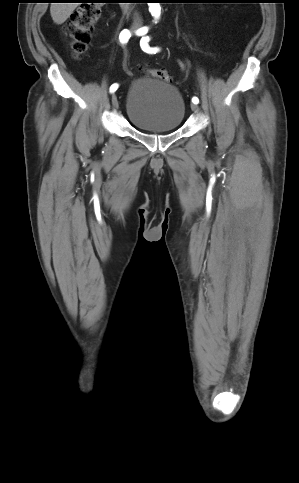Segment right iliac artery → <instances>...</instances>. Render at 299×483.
<instances>
[{"label": "right iliac artery", "mask_w": 299, "mask_h": 483, "mask_svg": "<svg viewBox=\"0 0 299 483\" xmlns=\"http://www.w3.org/2000/svg\"><path fill=\"white\" fill-rule=\"evenodd\" d=\"M147 32H148V27H142L136 31V34L138 36H142V35H145ZM130 37H131V33L127 29H124L123 31H121L119 35V39L122 44L127 43ZM118 86L119 85L117 83L112 84L110 87V92L111 93L115 92L118 89Z\"/></svg>", "instance_id": "right-iliac-artery-1"}]
</instances>
